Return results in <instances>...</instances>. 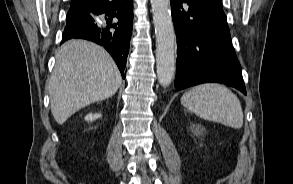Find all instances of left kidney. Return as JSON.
Here are the masks:
<instances>
[{
	"label": "left kidney",
	"mask_w": 293,
	"mask_h": 184,
	"mask_svg": "<svg viewBox=\"0 0 293 184\" xmlns=\"http://www.w3.org/2000/svg\"><path fill=\"white\" fill-rule=\"evenodd\" d=\"M190 129H191L192 133L195 135H202L205 131V128L200 124H192L190 126Z\"/></svg>",
	"instance_id": "left-kidney-1"
}]
</instances>
